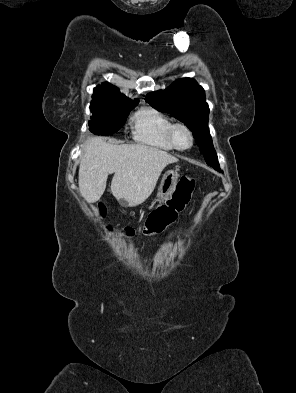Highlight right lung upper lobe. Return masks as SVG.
<instances>
[{
  "mask_svg": "<svg viewBox=\"0 0 296 393\" xmlns=\"http://www.w3.org/2000/svg\"><path fill=\"white\" fill-rule=\"evenodd\" d=\"M106 101H132L120 93L119 89L109 83H102L98 85L92 95L91 103L106 102ZM139 101L135 99L133 102Z\"/></svg>",
  "mask_w": 296,
  "mask_h": 393,
  "instance_id": "1",
  "label": "right lung upper lobe"
}]
</instances>
